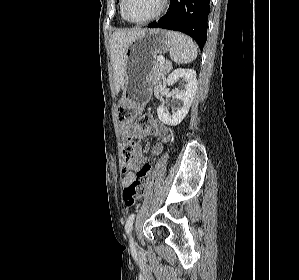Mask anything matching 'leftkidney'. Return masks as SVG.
I'll return each mask as SVG.
<instances>
[{
  "label": "left kidney",
  "mask_w": 299,
  "mask_h": 280,
  "mask_svg": "<svg viewBox=\"0 0 299 280\" xmlns=\"http://www.w3.org/2000/svg\"><path fill=\"white\" fill-rule=\"evenodd\" d=\"M179 79L186 82L185 89L177 90L174 98L181 102L182 106L177 108L172 115L166 112L163 105L157 108L159 120L170 126L178 125L186 117L197 90L196 71L193 69H176L168 76L166 82L171 86Z\"/></svg>",
  "instance_id": "obj_1"
}]
</instances>
